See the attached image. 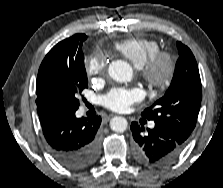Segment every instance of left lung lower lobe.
<instances>
[{
  "label": "left lung lower lobe",
  "mask_w": 223,
  "mask_h": 188,
  "mask_svg": "<svg viewBox=\"0 0 223 188\" xmlns=\"http://www.w3.org/2000/svg\"><path fill=\"white\" fill-rule=\"evenodd\" d=\"M134 138L133 153L137 161L149 167L165 166L173 162L182 152L186 142L163 125L155 123L154 129H147L132 122Z\"/></svg>",
  "instance_id": "obj_1"
}]
</instances>
